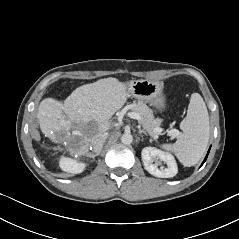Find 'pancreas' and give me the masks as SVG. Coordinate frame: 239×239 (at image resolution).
Masks as SVG:
<instances>
[{"instance_id": "obj_1", "label": "pancreas", "mask_w": 239, "mask_h": 239, "mask_svg": "<svg viewBox=\"0 0 239 239\" xmlns=\"http://www.w3.org/2000/svg\"><path fill=\"white\" fill-rule=\"evenodd\" d=\"M129 109L141 116L140 124L151 136H154L156 134L154 130L160 126L162 119L155 118L153 111L143 102L133 103Z\"/></svg>"}]
</instances>
